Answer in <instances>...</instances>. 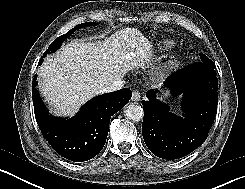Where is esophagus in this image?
<instances>
[{
	"label": "esophagus",
	"mask_w": 245,
	"mask_h": 189,
	"mask_svg": "<svg viewBox=\"0 0 245 189\" xmlns=\"http://www.w3.org/2000/svg\"><path fill=\"white\" fill-rule=\"evenodd\" d=\"M140 98H141L140 92H139L138 90H134V91L132 92V98H131L132 101L137 102V101L140 100Z\"/></svg>",
	"instance_id": "34e87169"
}]
</instances>
